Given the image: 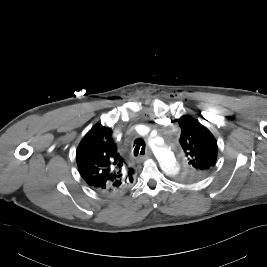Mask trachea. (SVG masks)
<instances>
[{"mask_svg": "<svg viewBox=\"0 0 267 267\" xmlns=\"http://www.w3.org/2000/svg\"><path fill=\"white\" fill-rule=\"evenodd\" d=\"M134 156L137 157L139 154L144 155L145 154V142L143 139L138 138L134 141Z\"/></svg>", "mask_w": 267, "mask_h": 267, "instance_id": "trachea-1", "label": "trachea"}]
</instances>
